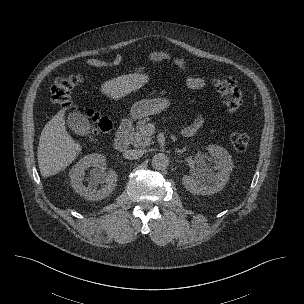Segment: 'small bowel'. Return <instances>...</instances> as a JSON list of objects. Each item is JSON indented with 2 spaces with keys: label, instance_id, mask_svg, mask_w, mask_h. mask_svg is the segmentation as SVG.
Here are the masks:
<instances>
[{
  "label": "small bowel",
  "instance_id": "c3829d8e",
  "mask_svg": "<svg viewBox=\"0 0 304 304\" xmlns=\"http://www.w3.org/2000/svg\"><path fill=\"white\" fill-rule=\"evenodd\" d=\"M122 61V56L119 54L114 55L110 59H99V58H91L88 59L85 64L89 67H111L120 64ZM163 61H172L174 64L181 69L184 73H186V84L188 88L192 90H199L202 89L206 82L205 80L199 76L198 74L191 73L189 70V64L185 58L182 57H174L170 53L166 51H154L151 52L148 56V62L151 65H156ZM203 119L198 117L195 121L184 128L183 134L186 136L194 135L198 129L202 126Z\"/></svg>",
  "mask_w": 304,
  "mask_h": 304
}]
</instances>
